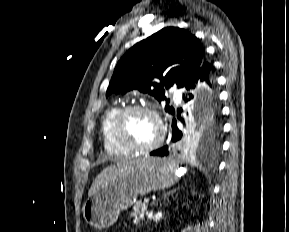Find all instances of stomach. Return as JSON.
I'll return each instance as SVG.
<instances>
[{"instance_id": "stomach-1", "label": "stomach", "mask_w": 289, "mask_h": 232, "mask_svg": "<svg viewBox=\"0 0 289 232\" xmlns=\"http://www.w3.org/2000/svg\"><path fill=\"white\" fill-rule=\"evenodd\" d=\"M171 159L148 157L116 176L88 197L82 208L87 223L97 229L113 225L121 210L131 207L139 195L170 187L178 181Z\"/></svg>"}]
</instances>
